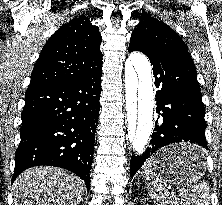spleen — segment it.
<instances>
[{
	"mask_svg": "<svg viewBox=\"0 0 222 205\" xmlns=\"http://www.w3.org/2000/svg\"><path fill=\"white\" fill-rule=\"evenodd\" d=\"M157 159L153 156L142 166L141 174L149 181L148 191L157 205H209L210 189L208 183L200 181L193 186H185L179 189L180 198L176 199L163 187V182L156 171Z\"/></svg>",
	"mask_w": 222,
	"mask_h": 205,
	"instance_id": "spleen-1",
	"label": "spleen"
}]
</instances>
